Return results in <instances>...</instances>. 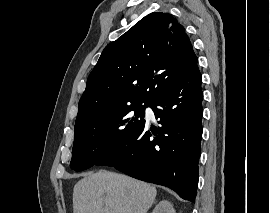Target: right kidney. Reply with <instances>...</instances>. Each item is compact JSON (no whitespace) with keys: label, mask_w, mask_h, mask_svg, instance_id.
<instances>
[{"label":"right kidney","mask_w":270,"mask_h":213,"mask_svg":"<svg viewBox=\"0 0 270 213\" xmlns=\"http://www.w3.org/2000/svg\"><path fill=\"white\" fill-rule=\"evenodd\" d=\"M152 213H176V212L169 201L162 200L155 206Z\"/></svg>","instance_id":"right-kidney-1"}]
</instances>
